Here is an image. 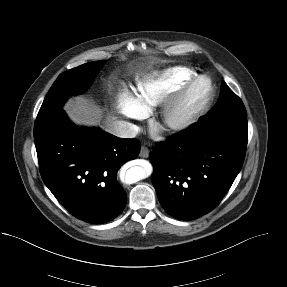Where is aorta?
Here are the masks:
<instances>
[{
    "mask_svg": "<svg viewBox=\"0 0 287 287\" xmlns=\"http://www.w3.org/2000/svg\"><path fill=\"white\" fill-rule=\"evenodd\" d=\"M147 177V170L143 167H132L127 170L125 180L127 183H135Z\"/></svg>",
    "mask_w": 287,
    "mask_h": 287,
    "instance_id": "1",
    "label": "aorta"
}]
</instances>
